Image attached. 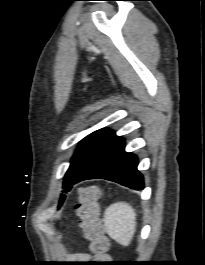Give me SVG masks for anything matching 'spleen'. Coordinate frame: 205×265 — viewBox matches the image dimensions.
I'll list each match as a JSON object with an SVG mask.
<instances>
[{
  "mask_svg": "<svg viewBox=\"0 0 205 265\" xmlns=\"http://www.w3.org/2000/svg\"><path fill=\"white\" fill-rule=\"evenodd\" d=\"M107 234L123 246H128L136 231V212L126 202L111 204L104 212Z\"/></svg>",
  "mask_w": 205,
  "mask_h": 265,
  "instance_id": "spleen-1",
  "label": "spleen"
}]
</instances>
